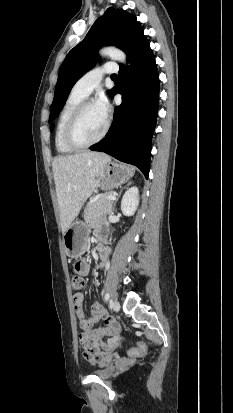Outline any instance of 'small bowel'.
Masks as SVG:
<instances>
[{
    "label": "small bowel",
    "instance_id": "c3829d8e",
    "mask_svg": "<svg viewBox=\"0 0 233 413\" xmlns=\"http://www.w3.org/2000/svg\"><path fill=\"white\" fill-rule=\"evenodd\" d=\"M92 226L100 229L102 223L100 221H94ZM98 251L101 264L106 265L109 249L105 245H100ZM73 268L78 270V273L82 276L89 273V264L86 261H75ZM73 300L78 323L82 329L79 340L83 349V356L93 364L104 366L111 361L112 354L118 345V340L115 337L119 330L118 322L97 301L92 304L90 316L88 318L85 317L82 308L84 301V294L82 292L75 293ZM99 322H102V325L94 327ZM104 337L110 338L107 342H104L102 340Z\"/></svg>",
    "mask_w": 233,
    "mask_h": 413
}]
</instances>
